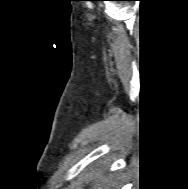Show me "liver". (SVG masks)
I'll use <instances>...</instances> for the list:
<instances>
[{"label":"liver","mask_w":188,"mask_h":189,"mask_svg":"<svg viewBox=\"0 0 188 189\" xmlns=\"http://www.w3.org/2000/svg\"><path fill=\"white\" fill-rule=\"evenodd\" d=\"M105 182L103 180V176L101 173H96L95 179H94V184L92 185L91 189H109L105 188Z\"/></svg>","instance_id":"1"}]
</instances>
